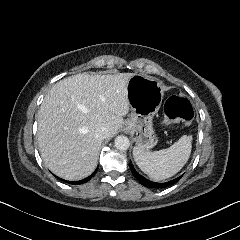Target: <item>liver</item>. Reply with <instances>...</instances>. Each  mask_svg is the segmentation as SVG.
<instances>
[{"instance_id": "6515ba94", "label": "liver", "mask_w": 240, "mask_h": 240, "mask_svg": "<svg viewBox=\"0 0 240 240\" xmlns=\"http://www.w3.org/2000/svg\"><path fill=\"white\" fill-rule=\"evenodd\" d=\"M134 73H79L52 86L38 113V145L46 167L57 176L81 180L95 170L105 127L107 139L123 128L130 109L126 85Z\"/></svg>"}]
</instances>
